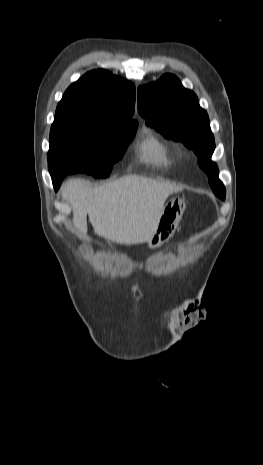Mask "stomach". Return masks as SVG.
Masks as SVG:
<instances>
[{
  "instance_id": "stomach-1",
  "label": "stomach",
  "mask_w": 263,
  "mask_h": 465,
  "mask_svg": "<svg viewBox=\"0 0 263 465\" xmlns=\"http://www.w3.org/2000/svg\"><path fill=\"white\" fill-rule=\"evenodd\" d=\"M186 208L181 198H171L164 206L155 232L148 241L150 249H155L167 242L174 234Z\"/></svg>"
}]
</instances>
